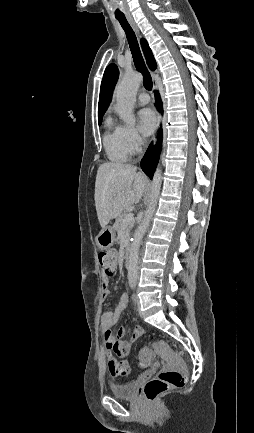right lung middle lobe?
<instances>
[{
    "label": "right lung middle lobe",
    "instance_id": "obj_1",
    "mask_svg": "<svg viewBox=\"0 0 254 433\" xmlns=\"http://www.w3.org/2000/svg\"><path fill=\"white\" fill-rule=\"evenodd\" d=\"M98 122H99V125H100V124H101V122H102V120H99Z\"/></svg>",
    "mask_w": 254,
    "mask_h": 433
}]
</instances>
